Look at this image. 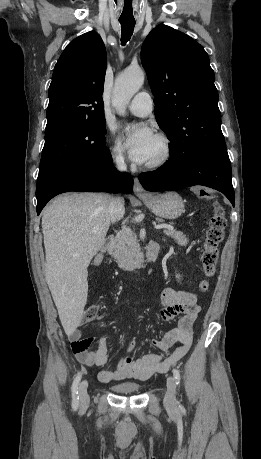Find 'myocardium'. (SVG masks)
<instances>
[{"label":"myocardium","instance_id":"myocardium-1","mask_svg":"<svg viewBox=\"0 0 261 459\" xmlns=\"http://www.w3.org/2000/svg\"><path fill=\"white\" fill-rule=\"evenodd\" d=\"M156 138L162 146V152L158 158L145 164L148 170H156L166 165L172 156V145L170 139L164 134H157Z\"/></svg>","mask_w":261,"mask_h":459}]
</instances>
